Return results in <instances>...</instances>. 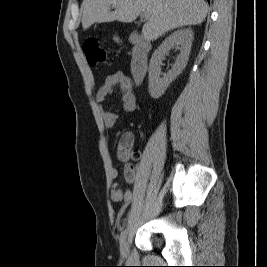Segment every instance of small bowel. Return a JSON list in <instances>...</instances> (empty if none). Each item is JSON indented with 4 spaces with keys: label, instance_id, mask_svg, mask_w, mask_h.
<instances>
[{
    "label": "small bowel",
    "instance_id": "small-bowel-1",
    "mask_svg": "<svg viewBox=\"0 0 267 267\" xmlns=\"http://www.w3.org/2000/svg\"><path fill=\"white\" fill-rule=\"evenodd\" d=\"M115 89H118L121 94L122 109L126 112H133L136 109V96L133 90L132 80L123 72H116L106 77L104 83L96 92V100L104 102L108 95ZM105 128L111 129L115 127L117 122V114L111 111H104L102 114ZM113 179L119 177V172L116 168L111 169ZM124 179L129 185L136 181L135 168L131 164H127L124 169ZM111 198L115 202L123 201L129 204L133 199V193L130 190H122L118 184H114L111 190Z\"/></svg>",
    "mask_w": 267,
    "mask_h": 267
}]
</instances>
